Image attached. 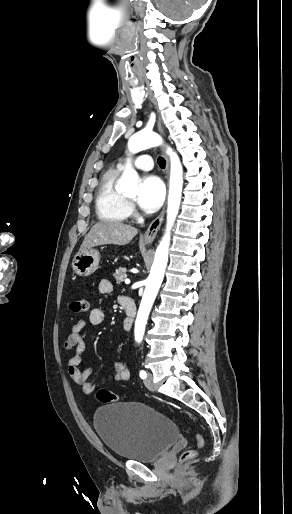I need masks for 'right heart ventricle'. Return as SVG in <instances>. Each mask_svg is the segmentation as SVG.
I'll use <instances>...</instances> for the list:
<instances>
[{"label":"right heart ventricle","mask_w":292,"mask_h":514,"mask_svg":"<svg viewBox=\"0 0 292 514\" xmlns=\"http://www.w3.org/2000/svg\"><path fill=\"white\" fill-rule=\"evenodd\" d=\"M119 171L110 169L106 171L99 182L95 195V210L99 220L123 221L129 214V208L116 187Z\"/></svg>","instance_id":"obj_1"}]
</instances>
